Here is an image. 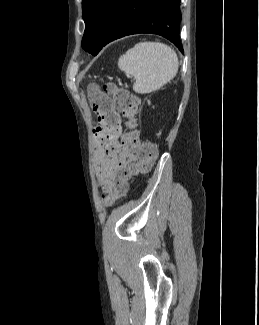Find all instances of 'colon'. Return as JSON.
I'll return each instance as SVG.
<instances>
[{"mask_svg": "<svg viewBox=\"0 0 259 325\" xmlns=\"http://www.w3.org/2000/svg\"><path fill=\"white\" fill-rule=\"evenodd\" d=\"M87 95L100 122V126L91 129L92 136L95 138L102 130L117 129L118 123L113 111H118L126 120L125 140L139 159L135 166L123 169L115 175L112 190L103 196V203L109 207L126 196L128 181L132 175L147 173L151 169L157 158V150L153 144L139 138V100L127 88L112 82L102 87L90 85Z\"/></svg>", "mask_w": 259, "mask_h": 325, "instance_id": "colon-1", "label": "colon"}]
</instances>
